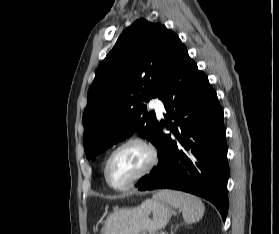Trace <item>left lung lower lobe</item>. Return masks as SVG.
<instances>
[{"label":"left lung lower lobe","mask_w":279,"mask_h":234,"mask_svg":"<svg viewBox=\"0 0 279 234\" xmlns=\"http://www.w3.org/2000/svg\"><path fill=\"white\" fill-rule=\"evenodd\" d=\"M157 97L167 110V122L158 125L154 144L159 163L136 186L141 191L170 188L201 196L212 202L225 220L229 167L223 110L186 47L179 50ZM164 126L176 138L164 134Z\"/></svg>","instance_id":"left-lung-lower-lobe-1"}]
</instances>
